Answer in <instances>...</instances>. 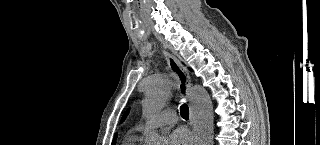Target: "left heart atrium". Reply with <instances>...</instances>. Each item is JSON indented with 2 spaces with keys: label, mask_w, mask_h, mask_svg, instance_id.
<instances>
[{
  "label": "left heart atrium",
  "mask_w": 320,
  "mask_h": 145,
  "mask_svg": "<svg viewBox=\"0 0 320 145\" xmlns=\"http://www.w3.org/2000/svg\"><path fill=\"white\" fill-rule=\"evenodd\" d=\"M191 136L185 129H176L169 137V145H190Z\"/></svg>",
  "instance_id": "left-heart-atrium-1"
}]
</instances>
